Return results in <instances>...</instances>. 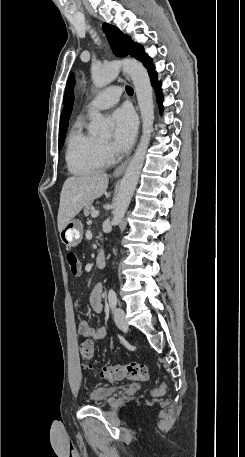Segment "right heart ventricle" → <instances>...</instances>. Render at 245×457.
Instances as JSON below:
<instances>
[{
  "mask_svg": "<svg viewBox=\"0 0 245 457\" xmlns=\"http://www.w3.org/2000/svg\"><path fill=\"white\" fill-rule=\"evenodd\" d=\"M68 162L75 171L103 169L108 159L97 137L86 131L83 122H74L68 133Z\"/></svg>",
  "mask_w": 245,
  "mask_h": 457,
  "instance_id": "e07e8e85",
  "label": "right heart ventricle"
}]
</instances>
